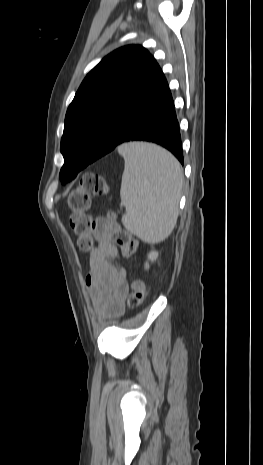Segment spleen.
Listing matches in <instances>:
<instances>
[{"label": "spleen", "instance_id": "1", "mask_svg": "<svg viewBox=\"0 0 263 465\" xmlns=\"http://www.w3.org/2000/svg\"><path fill=\"white\" fill-rule=\"evenodd\" d=\"M124 157L120 196L126 213L124 227L145 242L166 239L178 218L183 173L168 151L148 143L118 147Z\"/></svg>", "mask_w": 263, "mask_h": 465}]
</instances>
